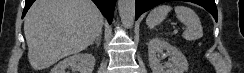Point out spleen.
Returning <instances> with one entry per match:
<instances>
[{
    "label": "spleen",
    "mask_w": 244,
    "mask_h": 73,
    "mask_svg": "<svg viewBox=\"0 0 244 73\" xmlns=\"http://www.w3.org/2000/svg\"><path fill=\"white\" fill-rule=\"evenodd\" d=\"M173 8L170 5H160L150 11L146 24L150 29L161 23ZM177 19L186 26L182 37L187 41H195L203 36V28L198 15L189 7L175 6Z\"/></svg>",
    "instance_id": "1"
}]
</instances>
